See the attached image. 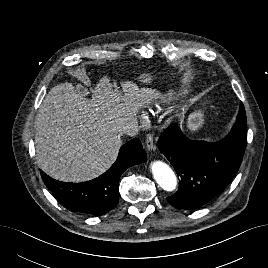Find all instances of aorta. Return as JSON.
<instances>
[{"mask_svg": "<svg viewBox=\"0 0 268 268\" xmlns=\"http://www.w3.org/2000/svg\"><path fill=\"white\" fill-rule=\"evenodd\" d=\"M151 170L154 179L163 190L168 192L175 190L177 178L169 165L162 161H154L151 164Z\"/></svg>", "mask_w": 268, "mask_h": 268, "instance_id": "aorta-1", "label": "aorta"}]
</instances>
